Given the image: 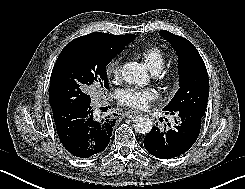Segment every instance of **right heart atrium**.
Returning a JSON list of instances; mask_svg holds the SVG:
<instances>
[{"label":"right heart atrium","mask_w":245,"mask_h":189,"mask_svg":"<svg viewBox=\"0 0 245 189\" xmlns=\"http://www.w3.org/2000/svg\"><path fill=\"white\" fill-rule=\"evenodd\" d=\"M106 74L114 79H119L121 76V58L115 57L110 60L105 67Z\"/></svg>","instance_id":"d8ad5b80"}]
</instances>
